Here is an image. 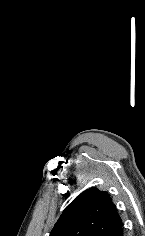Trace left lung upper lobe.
<instances>
[{"label":"left lung upper lobe","mask_w":145,"mask_h":236,"mask_svg":"<svg viewBox=\"0 0 145 236\" xmlns=\"http://www.w3.org/2000/svg\"><path fill=\"white\" fill-rule=\"evenodd\" d=\"M50 236H123V223L109 194L89 188L66 207Z\"/></svg>","instance_id":"5c2ea615"}]
</instances>
